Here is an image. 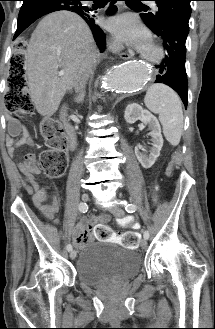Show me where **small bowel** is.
<instances>
[{"instance_id":"1","label":"small bowel","mask_w":215,"mask_h":329,"mask_svg":"<svg viewBox=\"0 0 215 329\" xmlns=\"http://www.w3.org/2000/svg\"><path fill=\"white\" fill-rule=\"evenodd\" d=\"M10 132L11 138L8 139L7 147L11 154L14 153L17 147L33 145L32 139L19 122L11 121ZM20 133H22V136L15 141L14 137L20 135ZM19 168L33 189L32 200L35 207L47 218L53 219L59 209L58 202L55 196L49 197L45 190L39 185L38 175L40 174V169L36 164L35 155L31 153L26 154L20 162ZM107 221L108 217L103 214L93 219H81L75 230V245L79 249H83L88 245L91 240L87 235L89 229L90 232H93L95 242H115L116 235L114 234L112 225H104Z\"/></svg>"}]
</instances>
